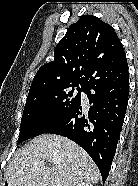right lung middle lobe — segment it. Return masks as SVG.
<instances>
[{
	"mask_svg": "<svg viewBox=\"0 0 138 186\" xmlns=\"http://www.w3.org/2000/svg\"><path fill=\"white\" fill-rule=\"evenodd\" d=\"M84 89L75 84L28 93L18 142L45 133L65 118L81 102L80 95Z\"/></svg>",
	"mask_w": 138,
	"mask_h": 186,
	"instance_id": "obj_1",
	"label": "right lung middle lobe"
}]
</instances>
